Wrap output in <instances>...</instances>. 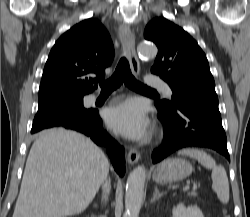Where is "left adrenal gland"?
Masks as SVG:
<instances>
[{"instance_id": "1", "label": "left adrenal gland", "mask_w": 250, "mask_h": 217, "mask_svg": "<svg viewBox=\"0 0 250 217\" xmlns=\"http://www.w3.org/2000/svg\"><path fill=\"white\" fill-rule=\"evenodd\" d=\"M164 194H165L164 192L160 193L159 189L156 187L154 194H153V198L151 199V203H153L156 200H158L159 198H161Z\"/></svg>"}]
</instances>
